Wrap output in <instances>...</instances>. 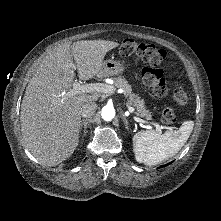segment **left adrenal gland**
Masks as SVG:
<instances>
[{"instance_id": "1", "label": "left adrenal gland", "mask_w": 221, "mask_h": 221, "mask_svg": "<svg viewBox=\"0 0 221 221\" xmlns=\"http://www.w3.org/2000/svg\"><path fill=\"white\" fill-rule=\"evenodd\" d=\"M121 117H122V120H123V122H124V124H125V128H126L127 130H130V129H129L128 120L126 119L125 115L122 114Z\"/></svg>"}]
</instances>
